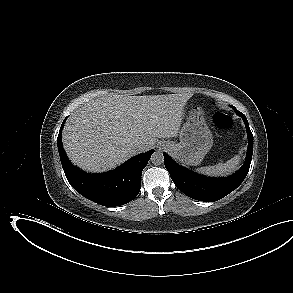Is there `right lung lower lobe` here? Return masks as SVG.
<instances>
[{
    "label": "right lung lower lobe",
    "instance_id": "98d812e1",
    "mask_svg": "<svg viewBox=\"0 0 293 293\" xmlns=\"http://www.w3.org/2000/svg\"><path fill=\"white\" fill-rule=\"evenodd\" d=\"M57 145L63 170L70 185L85 198L107 207H114L132 201L141 188L142 170L147 165L154 149L141 153L118 168L102 173L88 174L73 166L62 146L61 131Z\"/></svg>",
    "mask_w": 293,
    "mask_h": 293
}]
</instances>
